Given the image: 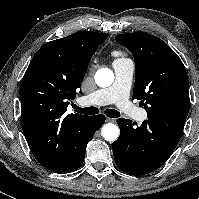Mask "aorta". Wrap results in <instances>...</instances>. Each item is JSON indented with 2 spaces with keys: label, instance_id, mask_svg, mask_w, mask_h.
I'll return each instance as SVG.
<instances>
[{
  "label": "aorta",
  "instance_id": "1",
  "mask_svg": "<svg viewBox=\"0 0 199 199\" xmlns=\"http://www.w3.org/2000/svg\"><path fill=\"white\" fill-rule=\"evenodd\" d=\"M95 82L100 87H108L114 81V73L108 68L99 69L95 74ZM102 136L106 141H115L119 136V128L113 123L105 124L102 127Z\"/></svg>",
  "mask_w": 199,
  "mask_h": 199
}]
</instances>
